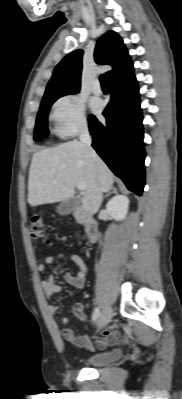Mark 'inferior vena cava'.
<instances>
[{"mask_svg":"<svg viewBox=\"0 0 182 399\" xmlns=\"http://www.w3.org/2000/svg\"><path fill=\"white\" fill-rule=\"evenodd\" d=\"M79 138H80V141L84 145H86L89 149L92 150V148H91L92 139H91L87 124H83L81 126L80 133H79Z\"/></svg>","mask_w":182,"mask_h":399,"instance_id":"602c4592","label":"inferior vena cava"}]
</instances>
